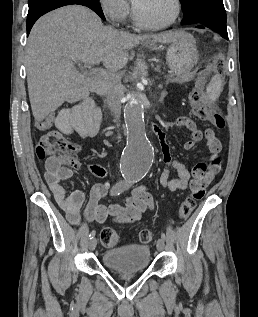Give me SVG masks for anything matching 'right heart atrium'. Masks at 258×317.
Listing matches in <instances>:
<instances>
[{
	"mask_svg": "<svg viewBox=\"0 0 258 317\" xmlns=\"http://www.w3.org/2000/svg\"><path fill=\"white\" fill-rule=\"evenodd\" d=\"M100 6L104 16L115 23L125 22L130 14V6L126 0H101Z\"/></svg>",
	"mask_w": 258,
	"mask_h": 317,
	"instance_id": "right-heart-atrium-1",
	"label": "right heart atrium"
}]
</instances>
